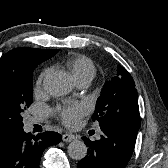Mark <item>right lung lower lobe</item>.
Instances as JSON below:
<instances>
[{
  "label": "right lung lower lobe",
  "instance_id": "98d812e1",
  "mask_svg": "<svg viewBox=\"0 0 168 168\" xmlns=\"http://www.w3.org/2000/svg\"><path fill=\"white\" fill-rule=\"evenodd\" d=\"M61 141L55 132L37 136L17 128L0 135V168H39L43 151Z\"/></svg>",
  "mask_w": 168,
  "mask_h": 168
}]
</instances>
